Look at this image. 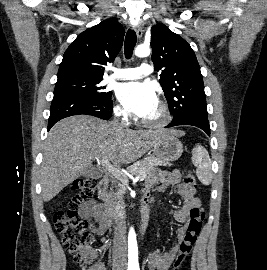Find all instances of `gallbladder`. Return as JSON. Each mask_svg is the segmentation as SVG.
Listing matches in <instances>:
<instances>
[{
    "label": "gallbladder",
    "mask_w": 267,
    "mask_h": 270,
    "mask_svg": "<svg viewBox=\"0 0 267 270\" xmlns=\"http://www.w3.org/2000/svg\"><path fill=\"white\" fill-rule=\"evenodd\" d=\"M102 175V171L95 167H90L83 173L84 177L91 179H99L102 177Z\"/></svg>",
    "instance_id": "gallbladder-1"
}]
</instances>
